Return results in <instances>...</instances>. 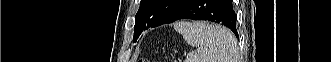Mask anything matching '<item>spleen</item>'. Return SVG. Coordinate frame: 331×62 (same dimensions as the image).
<instances>
[{
    "label": "spleen",
    "mask_w": 331,
    "mask_h": 62,
    "mask_svg": "<svg viewBox=\"0 0 331 62\" xmlns=\"http://www.w3.org/2000/svg\"><path fill=\"white\" fill-rule=\"evenodd\" d=\"M174 29L197 51L190 52L185 62H238L237 40L233 33L207 22H177Z\"/></svg>",
    "instance_id": "spleen-1"
}]
</instances>
